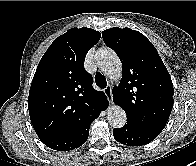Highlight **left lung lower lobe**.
Listing matches in <instances>:
<instances>
[{
  "label": "left lung lower lobe",
  "instance_id": "left-lung-lower-lobe-1",
  "mask_svg": "<svg viewBox=\"0 0 196 166\" xmlns=\"http://www.w3.org/2000/svg\"><path fill=\"white\" fill-rule=\"evenodd\" d=\"M158 135L159 132L138 127L130 122H127L122 128L113 130L115 140L127 146H141L148 144Z\"/></svg>",
  "mask_w": 196,
  "mask_h": 166
}]
</instances>
